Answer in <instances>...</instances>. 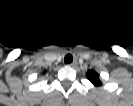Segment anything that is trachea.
<instances>
[{"label":"trachea","mask_w":133,"mask_h":106,"mask_svg":"<svg viewBox=\"0 0 133 106\" xmlns=\"http://www.w3.org/2000/svg\"><path fill=\"white\" fill-rule=\"evenodd\" d=\"M73 61V56L71 54H67L64 58V62L67 63H71Z\"/></svg>","instance_id":"trachea-1"}]
</instances>
